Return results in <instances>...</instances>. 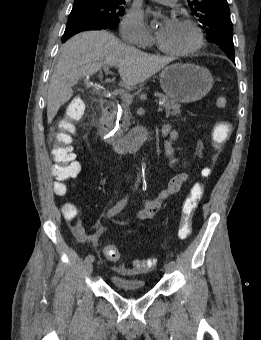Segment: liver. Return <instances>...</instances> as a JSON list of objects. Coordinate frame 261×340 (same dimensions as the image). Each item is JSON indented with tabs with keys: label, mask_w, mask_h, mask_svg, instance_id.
Here are the masks:
<instances>
[{
	"label": "liver",
	"mask_w": 261,
	"mask_h": 340,
	"mask_svg": "<svg viewBox=\"0 0 261 340\" xmlns=\"http://www.w3.org/2000/svg\"><path fill=\"white\" fill-rule=\"evenodd\" d=\"M172 59L144 53L123 44L107 31H86L69 39L54 69L47 94V119L52 123L59 108L72 96L80 78L97 73L103 66H116L121 84L131 89L169 64Z\"/></svg>",
	"instance_id": "liver-1"
}]
</instances>
